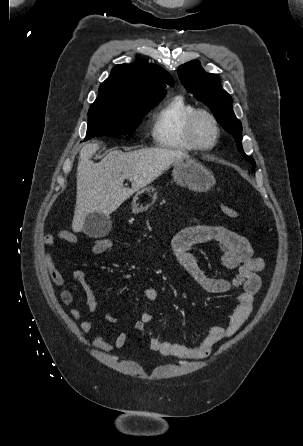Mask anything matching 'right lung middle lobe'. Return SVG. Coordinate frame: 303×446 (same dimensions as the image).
I'll list each match as a JSON object with an SVG mask.
<instances>
[{
    "instance_id": "dd1d6c3e",
    "label": "right lung middle lobe",
    "mask_w": 303,
    "mask_h": 446,
    "mask_svg": "<svg viewBox=\"0 0 303 446\" xmlns=\"http://www.w3.org/2000/svg\"><path fill=\"white\" fill-rule=\"evenodd\" d=\"M156 105L141 109L90 108L85 141L96 136L132 134L142 122V117Z\"/></svg>"
}]
</instances>
